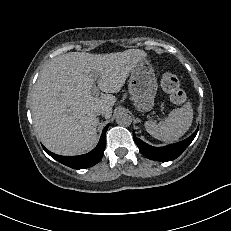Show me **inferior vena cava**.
Segmentation results:
<instances>
[{
    "mask_svg": "<svg viewBox=\"0 0 231 231\" xmlns=\"http://www.w3.org/2000/svg\"><path fill=\"white\" fill-rule=\"evenodd\" d=\"M104 113V110L103 109H99L95 112V114L98 116V115H101Z\"/></svg>",
    "mask_w": 231,
    "mask_h": 231,
    "instance_id": "1",
    "label": "inferior vena cava"
}]
</instances>
